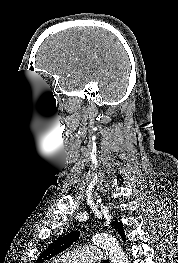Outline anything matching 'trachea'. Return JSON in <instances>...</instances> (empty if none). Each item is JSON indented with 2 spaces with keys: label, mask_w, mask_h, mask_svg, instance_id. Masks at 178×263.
<instances>
[{
  "label": "trachea",
  "mask_w": 178,
  "mask_h": 263,
  "mask_svg": "<svg viewBox=\"0 0 178 263\" xmlns=\"http://www.w3.org/2000/svg\"><path fill=\"white\" fill-rule=\"evenodd\" d=\"M103 263H109V261L108 260H104Z\"/></svg>",
  "instance_id": "trachea-1"
}]
</instances>
